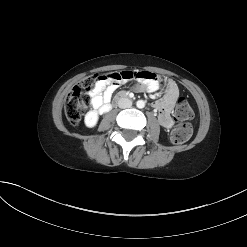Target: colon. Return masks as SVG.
I'll use <instances>...</instances> for the list:
<instances>
[{
	"mask_svg": "<svg viewBox=\"0 0 247 247\" xmlns=\"http://www.w3.org/2000/svg\"><path fill=\"white\" fill-rule=\"evenodd\" d=\"M102 75L94 74L83 79L68 94L65 103V115L71 125H77L81 121L83 113L89 103L88 91L92 90ZM175 117L180 122L171 132L170 140L174 144H182L189 140L192 128L184 121L193 117V109L185 98H180L175 109Z\"/></svg>",
	"mask_w": 247,
	"mask_h": 247,
	"instance_id": "1",
	"label": "colon"
}]
</instances>
